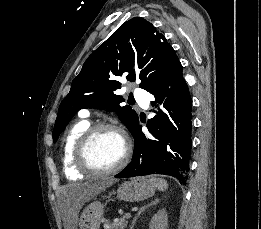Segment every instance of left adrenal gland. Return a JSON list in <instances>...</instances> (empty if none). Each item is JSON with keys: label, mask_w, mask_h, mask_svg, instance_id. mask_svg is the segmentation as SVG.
<instances>
[{"label": "left adrenal gland", "mask_w": 261, "mask_h": 229, "mask_svg": "<svg viewBox=\"0 0 261 229\" xmlns=\"http://www.w3.org/2000/svg\"><path fill=\"white\" fill-rule=\"evenodd\" d=\"M160 199H154V201H152V203H150V205H144V207H141V209H139L136 217H134L131 225H129L130 229H133L137 219H139L140 215H142V213H144V211H146V209H149V207H153V205H157V203H159Z\"/></svg>", "instance_id": "obj_1"}]
</instances>
